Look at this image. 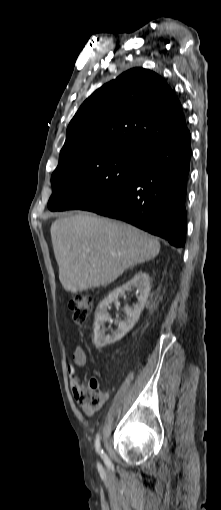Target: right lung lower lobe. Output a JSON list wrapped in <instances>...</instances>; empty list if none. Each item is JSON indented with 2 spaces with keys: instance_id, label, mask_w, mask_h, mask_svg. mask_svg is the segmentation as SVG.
Masks as SVG:
<instances>
[{
  "instance_id": "98d812e1",
  "label": "right lung lower lobe",
  "mask_w": 221,
  "mask_h": 510,
  "mask_svg": "<svg viewBox=\"0 0 221 510\" xmlns=\"http://www.w3.org/2000/svg\"><path fill=\"white\" fill-rule=\"evenodd\" d=\"M190 132L152 145L130 182L106 200L83 208L123 220L179 248L185 244V198Z\"/></svg>"
}]
</instances>
